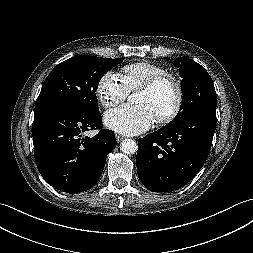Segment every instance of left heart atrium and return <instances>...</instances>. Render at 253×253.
I'll use <instances>...</instances> for the list:
<instances>
[{"instance_id": "1", "label": "left heart atrium", "mask_w": 253, "mask_h": 253, "mask_svg": "<svg viewBox=\"0 0 253 253\" xmlns=\"http://www.w3.org/2000/svg\"><path fill=\"white\" fill-rule=\"evenodd\" d=\"M155 119L147 105H123L108 111L104 116L108 128L124 135H137L146 131Z\"/></svg>"}]
</instances>
